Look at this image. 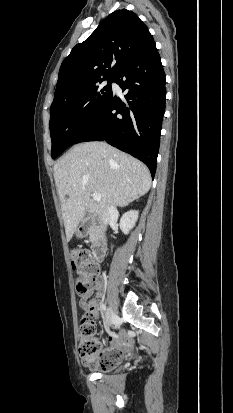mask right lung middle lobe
<instances>
[{
  "instance_id": "obj_1",
  "label": "right lung middle lobe",
  "mask_w": 233,
  "mask_h": 413,
  "mask_svg": "<svg viewBox=\"0 0 233 413\" xmlns=\"http://www.w3.org/2000/svg\"><path fill=\"white\" fill-rule=\"evenodd\" d=\"M108 81L105 87L100 83ZM101 80L51 105L52 158L60 155L91 125L112 95L113 78Z\"/></svg>"
}]
</instances>
